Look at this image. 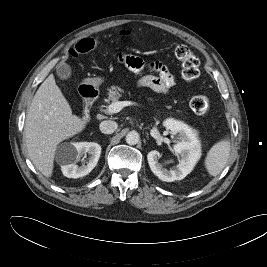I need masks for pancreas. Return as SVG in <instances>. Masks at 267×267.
<instances>
[{"label": "pancreas", "mask_w": 267, "mask_h": 267, "mask_svg": "<svg viewBox=\"0 0 267 267\" xmlns=\"http://www.w3.org/2000/svg\"><path fill=\"white\" fill-rule=\"evenodd\" d=\"M122 93H124V90L121 89L120 87L117 86H111L110 89H108V97L107 99H105V102H117L119 100V98L122 96ZM102 107H106V106H102ZM167 108H170V106H168ZM105 113H109L106 109L103 110Z\"/></svg>", "instance_id": "1"}]
</instances>
